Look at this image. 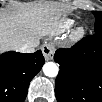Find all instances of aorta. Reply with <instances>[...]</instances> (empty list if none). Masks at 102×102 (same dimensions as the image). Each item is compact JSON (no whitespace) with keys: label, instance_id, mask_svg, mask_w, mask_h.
Returning <instances> with one entry per match:
<instances>
[{"label":"aorta","instance_id":"obj_1","mask_svg":"<svg viewBox=\"0 0 102 102\" xmlns=\"http://www.w3.org/2000/svg\"><path fill=\"white\" fill-rule=\"evenodd\" d=\"M43 73L48 77H56L59 71L58 66L54 62H47L43 66Z\"/></svg>","mask_w":102,"mask_h":102}]
</instances>
